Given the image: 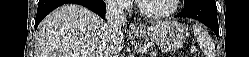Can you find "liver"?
I'll use <instances>...</instances> for the list:
<instances>
[{"label":"liver","mask_w":249,"mask_h":57,"mask_svg":"<svg viewBox=\"0 0 249 57\" xmlns=\"http://www.w3.org/2000/svg\"><path fill=\"white\" fill-rule=\"evenodd\" d=\"M123 44V32L110 35L100 16L64 4L39 24L35 57H119Z\"/></svg>","instance_id":"obj_1"}]
</instances>
